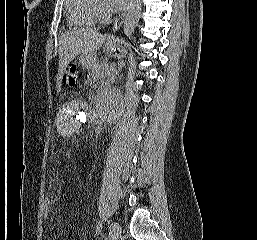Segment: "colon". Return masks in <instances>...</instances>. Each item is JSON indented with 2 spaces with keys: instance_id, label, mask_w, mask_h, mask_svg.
I'll use <instances>...</instances> for the list:
<instances>
[{
  "instance_id": "5ec220e1",
  "label": "colon",
  "mask_w": 257,
  "mask_h": 240,
  "mask_svg": "<svg viewBox=\"0 0 257 240\" xmlns=\"http://www.w3.org/2000/svg\"><path fill=\"white\" fill-rule=\"evenodd\" d=\"M78 82V70L76 67L68 68L63 75V83L68 87H74ZM53 199L46 196L43 201L42 214L44 220H48L51 215Z\"/></svg>"
}]
</instances>
